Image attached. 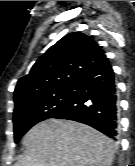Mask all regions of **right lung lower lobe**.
Returning a JSON list of instances; mask_svg holds the SVG:
<instances>
[{
	"label": "right lung lower lobe",
	"mask_w": 135,
	"mask_h": 166,
	"mask_svg": "<svg viewBox=\"0 0 135 166\" xmlns=\"http://www.w3.org/2000/svg\"><path fill=\"white\" fill-rule=\"evenodd\" d=\"M74 87L75 95L70 105L51 118L81 122L116 139L118 99L115 76L109 61L83 76Z\"/></svg>",
	"instance_id": "obj_1"
}]
</instances>
